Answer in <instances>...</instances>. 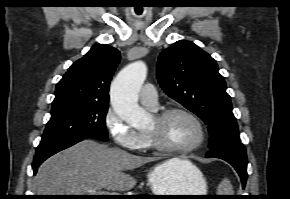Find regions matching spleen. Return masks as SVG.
<instances>
[{"label":"spleen","mask_w":290,"mask_h":199,"mask_svg":"<svg viewBox=\"0 0 290 199\" xmlns=\"http://www.w3.org/2000/svg\"><path fill=\"white\" fill-rule=\"evenodd\" d=\"M217 195H233V188L230 181L224 178L217 188Z\"/></svg>","instance_id":"3e777b00"}]
</instances>
